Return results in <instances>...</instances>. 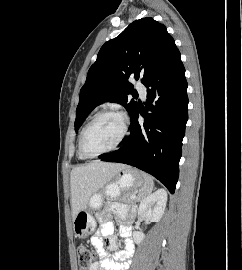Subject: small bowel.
I'll return each instance as SVG.
<instances>
[{"mask_svg":"<svg viewBox=\"0 0 242 270\" xmlns=\"http://www.w3.org/2000/svg\"><path fill=\"white\" fill-rule=\"evenodd\" d=\"M111 212L119 219L123 220L120 225V235L125 238V247L122 251H117L118 240L114 235V224L109 218H100L99 230L91 238L99 261L94 262L87 270H125L129 266V259L133 253L134 245L130 239L131 221L134 213L126 206L115 204ZM106 238L105 244L103 238ZM108 251H114L113 258L108 257Z\"/></svg>","mask_w":242,"mask_h":270,"instance_id":"1","label":"small bowel"}]
</instances>
